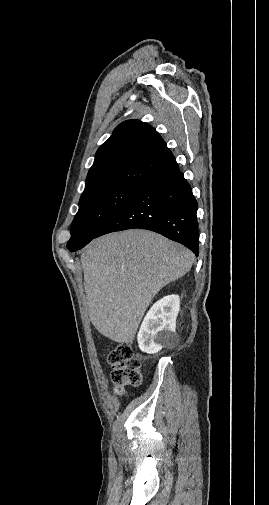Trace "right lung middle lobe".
Here are the masks:
<instances>
[{"label": "right lung middle lobe", "instance_id": "right-lung-middle-lobe-1", "mask_svg": "<svg viewBox=\"0 0 269 505\" xmlns=\"http://www.w3.org/2000/svg\"><path fill=\"white\" fill-rule=\"evenodd\" d=\"M137 189L135 186L110 184L84 190L71 225L68 250L77 251L96 238Z\"/></svg>", "mask_w": 269, "mask_h": 505}]
</instances>
